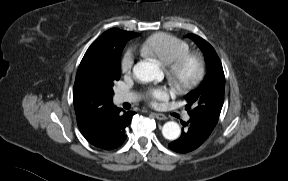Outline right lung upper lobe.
Here are the masks:
<instances>
[{
	"label": "right lung upper lobe",
	"mask_w": 288,
	"mask_h": 181,
	"mask_svg": "<svg viewBox=\"0 0 288 181\" xmlns=\"http://www.w3.org/2000/svg\"><path fill=\"white\" fill-rule=\"evenodd\" d=\"M138 35L116 28L104 32L88 48L79 65L73 89L77 124L83 136L96 147L108 148L114 136L113 116L117 110L112 96L95 77L104 49L119 36L130 40Z\"/></svg>",
	"instance_id": "obj_1"
}]
</instances>
